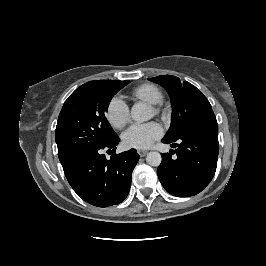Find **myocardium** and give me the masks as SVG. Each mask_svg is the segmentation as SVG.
Wrapping results in <instances>:
<instances>
[{"label": "myocardium", "instance_id": "1", "mask_svg": "<svg viewBox=\"0 0 266 266\" xmlns=\"http://www.w3.org/2000/svg\"><path fill=\"white\" fill-rule=\"evenodd\" d=\"M160 103L152 104L153 105V111L156 114H162L165 112L164 108L162 107V105Z\"/></svg>", "mask_w": 266, "mask_h": 266}]
</instances>
